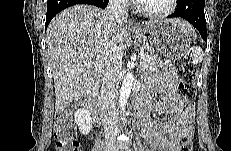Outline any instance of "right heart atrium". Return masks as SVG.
<instances>
[{
  "label": "right heart atrium",
  "instance_id": "obj_1",
  "mask_svg": "<svg viewBox=\"0 0 231 151\" xmlns=\"http://www.w3.org/2000/svg\"><path fill=\"white\" fill-rule=\"evenodd\" d=\"M115 3H116L119 7H125V5H126V1H124V0H117V1H115Z\"/></svg>",
  "mask_w": 231,
  "mask_h": 151
}]
</instances>
